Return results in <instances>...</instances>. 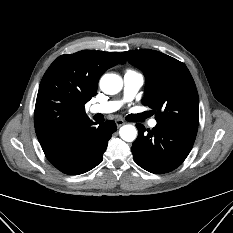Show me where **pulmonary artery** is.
Masks as SVG:
<instances>
[{"label": "pulmonary artery", "instance_id": "obj_1", "mask_svg": "<svg viewBox=\"0 0 233 233\" xmlns=\"http://www.w3.org/2000/svg\"><path fill=\"white\" fill-rule=\"evenodd\" d=\"M144 79L142 75L138 73H126L124 75V99L123 101H108L100 104H95L91 106L90 111L92 113H101V114H109L117 111L123 104L124 101H129L134 98V96L138 93L140 88L142 87ZM157 125V121L155 119H151L149 121L150 127H155Z\"/></svg>", "mask_w": 233, "mask_h": 233}]
</instances>
